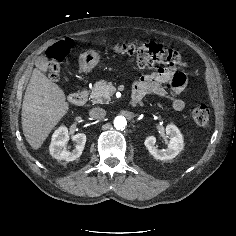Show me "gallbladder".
Returning a JSON list of instances; mask_svg holds the SVG:
<instances>
[{"mask_svg": "<svg viewBox=\"0 0 236 236\" xmlns=\"http://www.w3.org/2000/svg\"><path fill=\"white\" fill-rule=\"evenodd\" d=\"M36 63L43 71L47 70V68H48V59L45 56L38 57Z\"/></svg>", "mask_w": 236, "mask_h": 236, "instance_id": "obj_1", "label": "gallbladder"}]
</instances>
